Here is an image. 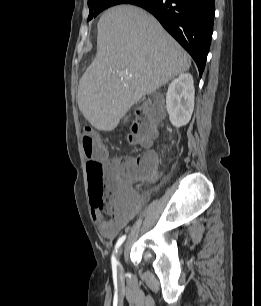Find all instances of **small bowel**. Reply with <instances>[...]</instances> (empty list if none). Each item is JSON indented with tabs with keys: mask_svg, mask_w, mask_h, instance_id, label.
<instances>
[{
	"mask_svg": "<svg viewBox=\"0 0 261 306\" xmlns=\"http://www.w3.org/2000/svg\"><path fill=\"white\" fill-rule=\"evenodd\" d=\"M145 156L150 158L154 170L157 164L156 154L153 152H148L145 154ZM110 162L120 163L123 166L127 167L133 165L135 159L133 157H124L113 159ZM123 181H128V178L123 179ZM131 181L127 182V185L131 190V195L127 199L119 202L117 206L110 211L109 217H107L105 213L101 210L95 209L91 212L93 219L98 225L101 236L107 240H112L117 236L121 229L139 211L141 206L144 204L146 198L148 197V194L144 196L136 194L131 189Z\"/></svg>",
	"mask_w": 261,
	"mask_h": 306,
	"instance_id": "obj_1",
	"label": "small bowel"
}]
</instances>
